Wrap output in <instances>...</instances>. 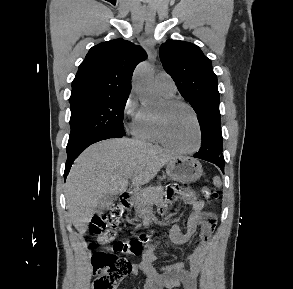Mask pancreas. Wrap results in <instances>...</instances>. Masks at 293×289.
<instances>
[{
	"mask_svg": "<svg viewBox=\"0 0 293 289\" xmlns=\"http://www.w3.org/2000/svg\"><path fill=\"white\" fill-rule=\"evenodd\" d=\"M164 189L162 186L148 187L135 193L133 202L136 214L144 218L146 212L151 208L154 202L162 200Z\"/></svg>",
	"mask_w": 293,
	"mask_h": 289,
	"instance_id": "1",
	"label": "pancreas"
}]
</instances>
